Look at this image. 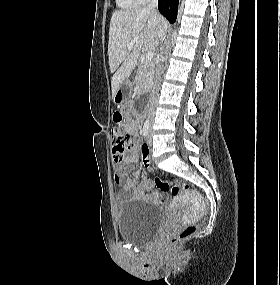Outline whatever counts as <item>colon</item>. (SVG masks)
Segmentation results:
<instances>
[{
	"instance_id": "colon-1",
	"label": "colon",
	"mask_w": 280,
	"mask_h": 285,
	"mask_svg": "<svg viewBox=\"0 0 280 285\" xmlns=\"http://www.w3.org/2000/svg\"><path fill=\"white\" fill-rule=\"evenodd\" d=\"M114 120L117 123L111 130L112 144H113V153L117 161L123 159L124 153L127 150H130L133 146L132 139L130 134L125 132L120 126L119 123L122 120L121 112H116L114 115ZM149 149L142 151V161L148 159ZM156 185L164 191L170 192L173 196L179 195L181 192L186 190H191L194 187L179 181L171 180L166 181L159 177L155 178ZM196 232V226L194 224H188L184 226L177 234L173 235L168 239V244L175 246L180 242L188 239Z\"/></svg>"
}]
</instances>
